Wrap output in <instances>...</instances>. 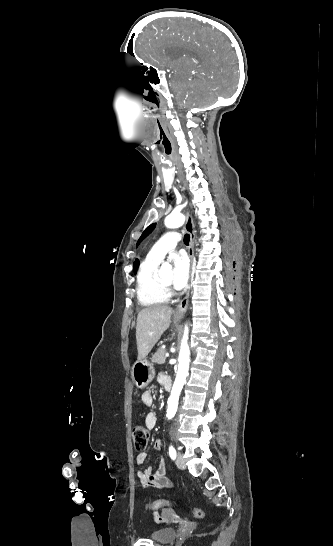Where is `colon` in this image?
<instances>
[{"label":"colon","mask_w":333,"mask_h":546,"mask_svg":"<svg viewBox=\"0 0 333 546\" xmlns=\"http://www.w3.org/2000/svg\"><path fill=\"white\" fill-rule=\"evenodd\" d=\"M132 438H133V444L135 449L137 450H143L146 448L149 440V433L147 429L142 425H136L133 427L132 432ZM171 505L169 501L166 500H157L152 503L146 504V509L150 511H156L161 507ZM192 515L195 518L202 519L205 516V513L203 510L199 508H193L191 510Z\"/></svg>","instance_id":"colon-1"}]
</instances>
